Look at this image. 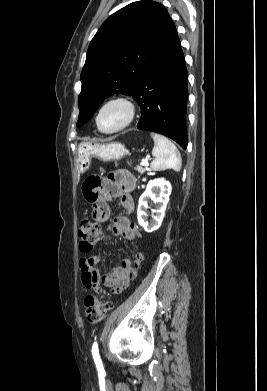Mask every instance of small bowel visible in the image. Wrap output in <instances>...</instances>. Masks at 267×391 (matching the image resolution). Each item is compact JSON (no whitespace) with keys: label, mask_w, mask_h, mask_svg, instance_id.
<instances>
[{"label":"small bowel","mask_w":267,"mask_h":391,"mask_svg":"<svg viewBox=\"0 0 267 391\" xmlns=\"http://www.w3.org/2000/svg\"><path fill=\"white\" fill-rule=\"evenodd\" d=\"M135 188L136 179L126 170H117L105 179L99 177L88 178L83 185V194L92 207L91 217L93 221L102 223L109 219L111 216L110 203L114 199L120 201L125 211L132 213L135 204L131 193ZM109 230L113 235L122 236L126 240L134 241L141 238L137 225L125 216H115ZM143 259L144 254L137 252L133 260L125 258L119 266L112 268L101 276L97 269L101 256L96 254L82 257L79 260L82 283L89 290L100 291V284H103L111 292L121 293L136 277Z\"/></svg>","instance_id":"c3829d8e"}]
</instances>
